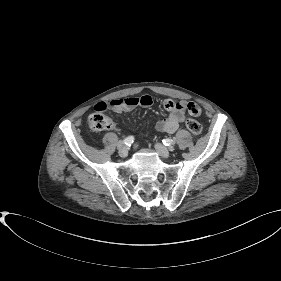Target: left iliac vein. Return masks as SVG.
<instances>
[{
    "label": "left iliac vein",
    "instance_id": "1",
    "mask_svg": "<svg viewBox=\"0 0 281 281\" xmlns=\"http://www.w3.org/2000/svg\"><path fill=\"white\" fill-rule=\"evenodd\" d=\"M155 149L156 151L158 152V154L163 157V158H169L170 155H171V152L172 151V147H170L169 149L166 148L164 145L160 144V143H156L155 144Z\"/></svg>",
    "mask_w": 281,
    "mask_h": 281
}]
</instances>
